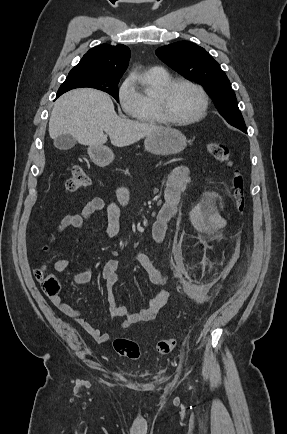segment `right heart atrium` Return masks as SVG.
Returning <instances> with one entry per match:
<instances>
[{"label": "right heart atrium", "mask_w": 287, "mask_h": 434, "mask_svg": "<svg viewBox=\"0 0 287 434\" xmlns=\"http://www.w3.org/2000/svg\"><path fill=\"white\" fill-rule=\"evenodd\" d=\"M118 100L123 111L128 115L135 114L142 103L141 93L138 90L134 76L129 75L118 89Z\"/></svg>", "instance_id": "1"}]
</instances>
